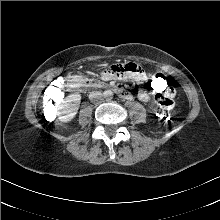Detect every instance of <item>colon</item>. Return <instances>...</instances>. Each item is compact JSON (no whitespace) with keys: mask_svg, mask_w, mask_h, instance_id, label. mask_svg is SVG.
Segmentation results:
<instances>
[{"mask_svg":"<svg viewBox=\"0 0 220 220\" xmlns=\"http://www.w3.org/2000/svg\"><path fill=\"white\" fill-rule=\"evenodd\" d=\"M144 84L147 89L151 90L156 94H162L166 92L169 87V82L167 78L164 74L160 72H151L147 74L144 79ZM60 91V82H57L56 84H53L50 87L49 92L47 94V99L44 103L45 110L51 111L55 108L56 102L60 97ZM154 100L157 103V105L161 108L157 113L158 120L162 123L169 122L172 118V113L170 110L173 107V98L163 95H156L154 97Z\"/></svg>","mask_w":220,"mask_h":220,"instance_id":"5ec220e1","label":"colon"}]
</instances>
